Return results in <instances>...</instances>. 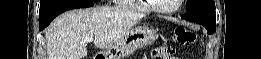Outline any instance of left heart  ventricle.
<instances>
[{"label": "left heart ventricle", "mask_w": 261, "mask_h": 59, "mask_svg": "<svg viewBox=\"0 0 261 59\" xmlns=\"http://www.w3.org/2000/svg\"><path fill=\"white\" fill-rule=\"evenodd\" d=\"M153 2L158 7L170 9V8H173L177 5L178 0H156V1H153Z\"/></svg>", "instance_id": "1"}]
</instances>
